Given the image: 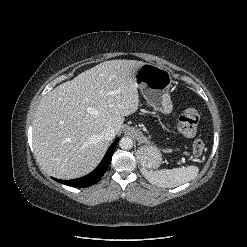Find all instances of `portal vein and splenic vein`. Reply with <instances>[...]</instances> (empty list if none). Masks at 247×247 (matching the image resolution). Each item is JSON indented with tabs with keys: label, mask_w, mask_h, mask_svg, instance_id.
<instances>
[{
	"label": "portal vein and splenic vein",
	"mask_w": 247,
	"mask_h": 247,
	"mask_svg": "<svg viewBox=\"0 0 247 247\" xmlns=\"http://www.w3.org/2000/svg\"><path fill=\"white\" fill-rule=\"evenodd\" d=\"M181 161L184 163L185 162V158H182Z\"/></svg>",
	"instance_id": "obj_1"
}]
</instances>
